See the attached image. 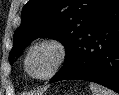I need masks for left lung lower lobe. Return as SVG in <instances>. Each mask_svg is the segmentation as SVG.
I'll use <instances>...</instances> for the list:
<instances>
[{"label":"left lung lower lobe","instance_id":"left-lung-lower-lobe-1","mask_svg":"<svg viewBox=\"0 0 119 95\" xmlns=\"http://www.w3.org/2000/svg\"><path fill=\"white\" fill-rule=\"evenodd\" d=\"M86 80L119 93V0H113L81 38L72 65L50 83Z\"/></svg>","mask_w":119,"mask_h":95}]
</instances>
